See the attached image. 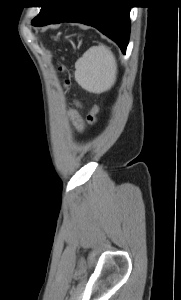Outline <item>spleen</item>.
<instances>
[{"label": "spleen", "instance_id": "3e777b00", "mask_svg": "<svg viewBox=\"0 0 181 300\" xmlns=\"http://www.w3.org/2000/svg\"><path fill=\"white\" fill-rule=\"evenodd\" d=\"M75 80L86 91L100 94L116 81L117 65L113 53L105 45L91 47L75 63Z\"/></svg>", "mask_w": 181, "mask_h": 300}]
</instances>
